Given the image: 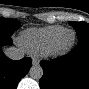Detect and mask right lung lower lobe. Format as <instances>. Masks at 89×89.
I'll list each match as a JSON object with an SVG mask.
<instances>
[{
  "label": "right lung lower lobe",
  "mask_w": 89,
  "mask_h": 89,
  "mask_svg": "<svg viewBox=\"0 0 89 89\" xmlns=\"http://www.w3.org/2000/svg\"><path fill=\"white\" fill-rule=\"evenodd\" d=\"M11 43V36L0 37V45ZM31 66V58L11 60L0 51V89H16L19 81L28 73Z\"/></svg>",
  "instance_id": "98d812e1"
}]
</instances>
